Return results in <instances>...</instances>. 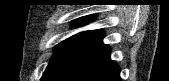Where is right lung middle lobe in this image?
<instances>
[{
	"label": "right lung middle lobe",
	"instance_id": "1",
	"mask_svg": "<svg viewBox=\"0 0 169 81\" xmlns=\"http://www.w3.org/2000/svg\"><path fill=\"white\" fill-rule=\"evenodd\" d=\"M83 24H85V21H83V20H76V21H74V25L75 26H80V25H83ZM66 41V40H65ZM65 41H63L62 43H60L56 48L58 49V48H60V46L65 42ZM56 49V50H57Z\"/></svg>",
	"mask_w": 169,
	"mask_h": 81
}]
</instances>
